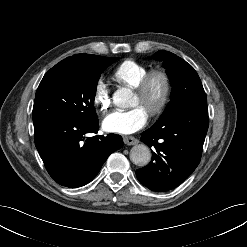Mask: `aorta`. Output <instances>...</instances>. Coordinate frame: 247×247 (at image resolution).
<instances>
[{
  "mask_svg": "<svg viewBox=\"0 0 247 247\" xmlns=\"http://www.w3.org/2000/svg\"><path fill=\"white\" fill-rule=\"evenodd\" d=\"M131 97L132 91L130 89L120 88L114 93L113 100L115 104L124 107ZM130 159L137 166H146L151 160V151L145 144L135 145L130 151Z\"/></svg>",
  "mask_w": 247,
  "mask_h": 247,
  "instance_id": "762f6f07",
  "label": "aorta"
}]
</instances>
